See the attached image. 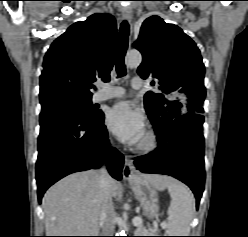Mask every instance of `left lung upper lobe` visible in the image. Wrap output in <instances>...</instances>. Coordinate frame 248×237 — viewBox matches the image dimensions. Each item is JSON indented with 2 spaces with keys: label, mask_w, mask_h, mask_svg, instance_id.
<instances>
[{
  "label": "left lung upper lobe",
  "mask_w": 248,
  "mask_h": 237,
  "mask_svg": "<svg viewBox=\"0 0 248 237\" xmlns=\"http://www.w3.org/2000/svg\"><path fill=\"white\" fill-rule=\"evenodd\" d=\"M143 56L138 74L152 76L158 92L148 91L144 106L155 132L161 133L178 116L204 111L205 67L195 42L182 29L158 16L147 18L134 44Z\"/></svg>",
  "instance_id": "5c2ea615"
}]
</instances>
